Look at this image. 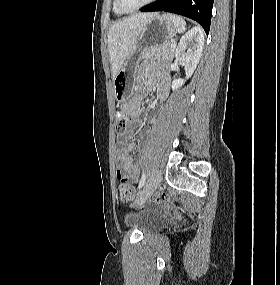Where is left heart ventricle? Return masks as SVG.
Returning a JSON list of instances; mask_svg holds the SVG:
<instances>
[{"label":"left heart ventricle","mask_w":280,"mask_h":285,"mask_svg":"<svg viewBox=\"0 0 280 285\" xmlns=\"http://www.w3.org/2000/svg\"><path fill=\"white\" fill-rule=\"evenodd\" d=\"M121 1L124 7L132 8L142 4L146 0H121Z\"/></svg>","instance_id":"obj_1"}]
</instances>
